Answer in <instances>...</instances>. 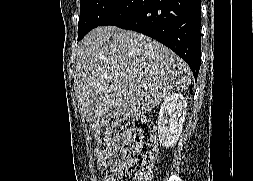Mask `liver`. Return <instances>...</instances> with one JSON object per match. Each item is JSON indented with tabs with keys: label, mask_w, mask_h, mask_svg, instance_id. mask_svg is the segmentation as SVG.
Returning a JSON list of instances; mask_svg holds the SVG:
<instances>
[{
	"label": "liver",
	"mask_w": 253,
	"mask_h": 181,
	"mask_svg": "<svg viewBox=\"0 0 253 181\" xmlns=\"http://www.w3.org/2000/svg\"><path fill=\"white\" fill-rule=\"evenodd\" d=\"M78 97L83 117H139L191 83L188 65L163 44L115 26L97 27L79 43Z\"/></svg>",
	"instance_id": "6515ba94"
}]
</instances>
